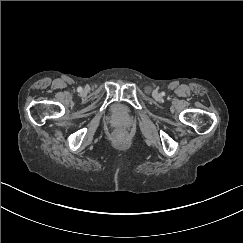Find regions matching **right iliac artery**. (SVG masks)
<instances>
[{
	"instance_id": "1",
	"label": "right iliac artery",
	"mask_w": 243,
	"mask_h": 243,
	"mask_svg": "<svg viewBox=\"0 0 243 243\" xmlns=\"http://www.w3.org/2000/svg\"><path fill=\"white\" fill-rule=\"evenodd\" d=\"M78 91H81L82 90V88L81 87H78V89H77Z\"/></svg>"
}]
</instances>
